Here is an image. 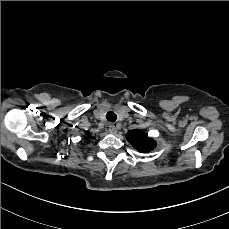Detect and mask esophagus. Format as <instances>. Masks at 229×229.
<instances>
[{
    "mask_svg": "<svg viewBox=\"0 0 229 229\" xmlns=\"http://www.w3.org/2000/svg\"><path fill=\"white\" fill-rule=\"evenodd\" d=\"M108 129H109L110 133H112V134H116L117 133V129H116V127L114 125H110L108 127Z\"/></svg>",
    "mask_w": 229,
    "mask_h": 229,
    "instance_id": "1",
    "label": "esophagus"
}]
</instances>
